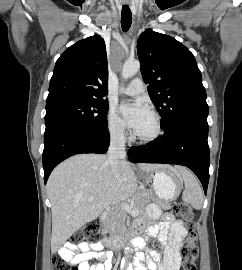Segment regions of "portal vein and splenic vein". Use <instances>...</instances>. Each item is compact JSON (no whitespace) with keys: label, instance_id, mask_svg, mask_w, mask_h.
<instances>
[{"label":"portal vein and splenic vein","instance_id":"portal-vein-and-splenic-vein-1","mask_svg":"<svg viewBox=\"0 0 242 270\" xmlns=\"http://www.w3.org/2000/svg\"><path fill=\"white\" fill-rule=\"evenodd\" d=\"M95 198L94 197H90L89 200H94ZM121 209H123L124 211L132 214V215H138L139 211L135 208H133V205H129L125 202H122L121 203Z\"/></svg>","mask_w":242,"mask_h":270}]
</instances>
